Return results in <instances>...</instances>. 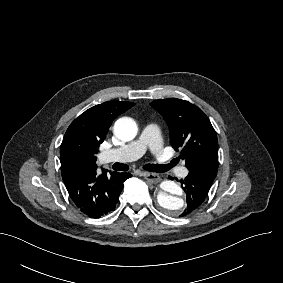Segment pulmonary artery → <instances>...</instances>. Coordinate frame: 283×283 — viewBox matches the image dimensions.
Listing matches in <instances>:
<instances>
[{
  "mask_svg": "<svg viewBox=\"0 0 283 283\" xmlns=\"http://www.w3.org/2000/svg\"><path fill=\"white\" fill-rule=\"evenodd\" d=\"M161 137L162 129L158 125L148 124L142 127L135 142L119 150H106L102 154V159L106 163L131 162L140 159L150 149L157 155H162L166 151V146L162 143ZM176 174L180 178H185L189 174V169L185 165H180L176 169Z\"/></svg>",
  "mask_w": 283,
  "mask_h": 283,
  "instance_id": "obj_1",
  "label": "pulmonary artery"
}]
</instances>
